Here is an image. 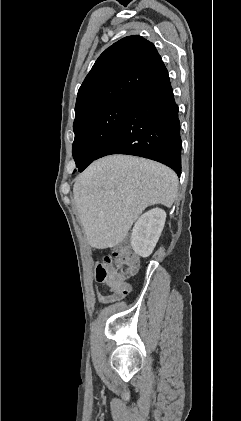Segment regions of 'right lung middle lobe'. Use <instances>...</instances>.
Listing matches in <instances>:
<instances>
[{
    "instance_id": "right-lung-middle-lobe-1",
    "label": "right lung middle lobe",
    "mask_w": 241,
    "mask_h": 421,
    "mask_svg": "<svg viewBox=\"0 0 241 421\" xmlns=\"http://www.w3.org/2000/svg\"><path fill=\"white\" fill-rule=\"evenodd\" d=\"M130 100L93 110L73 124L75 139L72 154L78 169H85L119 128Z\"/></svg>"
}]
</instances>
